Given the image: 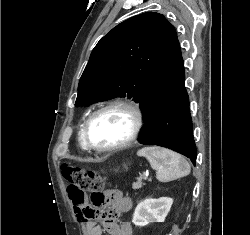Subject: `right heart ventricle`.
Listing matches in <instances>:
<instances>
[{"mask_svg":"<svg viewBox=\"0 0 250 235\" xmlns=\"http://www.w3.org/2000/svg\"><path fill=\"white\" fill-rule=\"evenodd\" d=\"M79 139H80L81 147H82L83 149H85L86 147H85V145H84V143H83V138H82V128H81V131H80V134H79Z\"/></svg>","mask_w":250,"mask_h":235,"instance_id":"right-heart-ventricle-1","label":"right heart ventricle"}]
</instances>
